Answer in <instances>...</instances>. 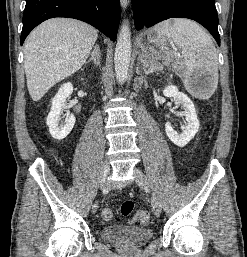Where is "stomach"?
Returning a JSON list of instances; mask_svg holds the SVG:
<instances>
[{"instance_id": "obj_1", "label": "stomach", "mask_w": 247, "mask_h": 257, "mask_svg": "<svg viewBox=\"0 0 247 257\" xmlns=\"http://www.w3.org/2000/svg\"><path fill=\"white\" fill-rule=\"evenodd\" d=\"M147 37L150 42V39L155 38L156 35L152 30H150L147 33ZM154 43H156V45L158 46V50H156L152 46L145 45L142 47L139 53V60L144 68L148 69L152 64L156 63L157 60H161L165 64L176 68V71L180 73V75L184 78L185 67L168 49V40L166 38L160 37Z\"/></svg>"}]
</instances>
